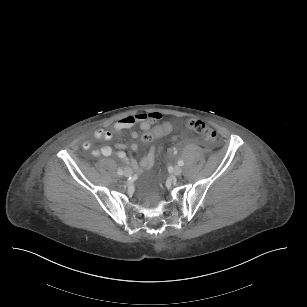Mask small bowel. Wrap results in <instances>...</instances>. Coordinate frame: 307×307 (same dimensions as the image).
Returning <instances> with one entry per match:
<instances>
[{
	"mask_svg": "<svg viewBox=\"0 0 307 307\" xmlns=\"http://www.w3.org/2000/svg\"><path fill=\"white\" fill-rule=\"evenodd\" d=\"M161 119H162V114L159 112L156 111L140 112L121 118L113 125V127L110 130H104V129L95 130L93 136L96 139L111 140L115 134L130 129L136 124L140 125L142 131L144 132V130H146L151 126H158L160 124ZM131 137L133 139L138 138V133L135 131L131 132ZM83 148L86 150H90L92 148V142L90 140L84 141ZM127 148H129L131 152L138 151L137 144H132L129 147L123 144H117L115 146L116 151L114 148L110 146H103L100 149L92 150V154L94 156H106V157L116 154L118 158L122 159L126 164H129L134 169H148L154 164L158 154L162 149L161 147H159L158 149L155 150H149V152L146 155H144L139 162H137L135 159L127 158V153L125 152Z\"/></svg>",
	"mask_w": 307,
	"mask_h": 307,
	"instance_id": "small-bowel-1",
	"label": "small bowel"
}]
</instances>
